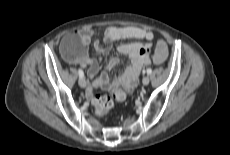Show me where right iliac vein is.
Listing matches in <instances>:
<instances>
[{
    "instance_id": "obj_1",
    "label": "right iliac vein",
    "mask_w": 230,
    "mask_h": 155,
    "mask_svg": "<svg viewBox=\"0 0 230 155\" xmlns=\"http://www.w3.org/2000/svg\"><path fill=\"white\" fill-rule=\"evenodd\" d=\"M78 83H79V86H80L81 88H85V87H86V81H85L84 78H79Z\"/></svg>"
}]
</instances>
